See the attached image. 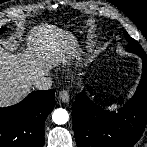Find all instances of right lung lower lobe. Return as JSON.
Returning a JSON list of instances; mask_svg holds the SVG:
<instances>
[{"instance_id": "right-lung-lower-lobe-1", "label": "right lung lower lobe", "mask_w": 147, "mask_h": 147, "mask_svg": "<svg viewBox=\"0 0 147 147\" xmlns=\"http://www.w3.org/2000/svg\"><path fill=\"white\" fill-rule=\"evenodd\" d=\"M55 106V89L34 91L0 108V147H43L44 123Z\"/></svg>"}]
</instances>
